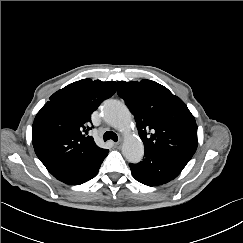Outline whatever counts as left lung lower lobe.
<instances>
[{"mask_svg":"<svg viewBox=\"0 0 243 243\" xmlns=\"http://www.w3.org/2000/svg\"><path fill=\"white\" fill-rule=\"evenodd\" d=\"M192 157L145 148L144 158L129 164L133 177L147 185L158 186L177 177Z\"/></svg>","mask_w":243,"mask_h":243,"instance_id":"0a47b994","label":"left lung lower lobe"}]
</instances>
